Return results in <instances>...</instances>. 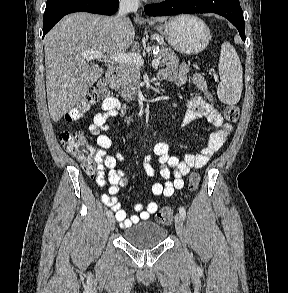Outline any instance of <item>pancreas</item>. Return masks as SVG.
<instances>
[{
	"mask_svg": "<svg viewBox=\"0 0 288 293\" xmlns=\"http://www.w3.org/2000/svg\"><path fill=\"white\" fill-rule=\"evenodd\" d=\"M160 50L158 59L161 66L175 69L179 65V59L175 52L168 48L163 41H159ZM137 53H140L139 45L136 46ZM141 73L140 66L132 62L119 63L114 88L125 100H134L140 87Z\"/></svg>",
	"mask_w": 288,
	"mask_h": 293,
	"instance_id": "cf45deb5",
	"label": "pancreas"
}]
</instances>
